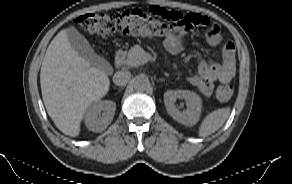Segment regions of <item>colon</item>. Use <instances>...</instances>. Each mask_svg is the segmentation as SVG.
Returning <instances> with one entry per match:
<instances>
[{"mask_svg": "<svg viewBox=\"0 0 292 184\" xmlns=\"http://www.w3.org/2000/svg\"><path fill=\"white\" fill-rule=\"evenodd\" d=\"M77 24L87 33L100 36L139 35L166 38L173 29H189L192 21L188 15L178 11L153 6L149 11L140 9L117 13L92 12L79 16ZM233 94L229 85H221L216 90L220 101H228Z\"/></svg>", "mask_w": 292, "mask_h": 184, "instance_id": "colon-1", "label": "colon"}]
</instances>
